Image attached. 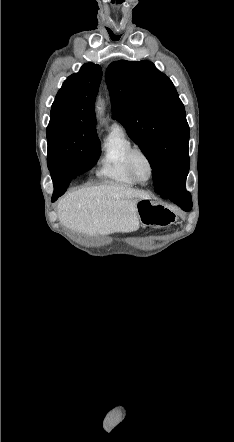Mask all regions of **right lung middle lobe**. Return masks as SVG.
Instances as JSON below:
<instances>
[{"label":"right lung middle lobe","mask_w":234,"mask_h":442,"mask_svg":"<svg viewBox=\"0 0 234 442\" xmlns=\"http://www.w3.org/2000/svg\"><path fill=\"white\" fill-rule=\"evenodd\" d=\"M47 142L49 170L70 164L74 178L88 171L101 153L97 133L84 132L67 120L49 122Z\"/></svg>","instance_id":"dd1d6c3e"}]
</instances>
